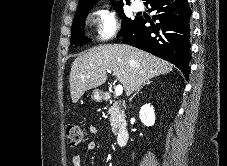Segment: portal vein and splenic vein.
Segmentation results:
<instances>
[{
	"label": "portal vein and splenic vein",
	"instance_id": "1",
	"mask_svg": "<svg viewBox=\"0 0 227 166\" xmlns=\"http://www.w3.org/2000/svg\"><path fill=\"white\" fill-rule=\"evenodd\" d=\"M108 73H111L110 70L107 71ZM123 92V87L122 85H117L116 88H115V94L116 96H120Z\"/></svg>",
	"mask_w": 227,
	"mask_h": 166
}]
</instances>
